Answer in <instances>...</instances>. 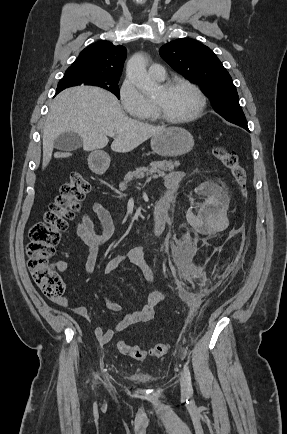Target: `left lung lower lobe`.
<instances>
[{
    "instance_id": "left-lung-lower-lobe-1",
    "label": "left lung lower lobe",
    "mask_w": 287,
    "mask_h": 434,
    "mask_svg": "<svg viewBox=\"0 0 287 434\" xmlns=\"http://www.w3.org/2000/svg\"><path fill=\"white\" fill-rule=\"evenodd\" d=\"M228 121H230V122H232V123H234L236 125H239V126L243 127L244 129H246V130L249 131L247 123H246V119L245 120H243V119H232V120H228Z\"/></svg>"
}]
</instances>
